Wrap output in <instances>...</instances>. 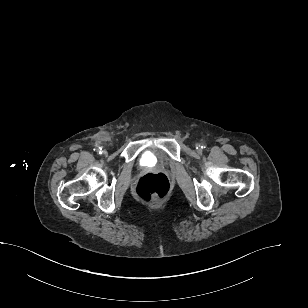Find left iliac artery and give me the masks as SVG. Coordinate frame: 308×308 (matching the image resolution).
I'll return each instance as SVG.
<instances>
[{"mask_svg":"<svg viewBox=\"0 0 308 308\" xmlns=\"http://www.w3.org/2000/svg\"><path fill=\"white\" fill-rule=\"evenodd\" d=\"M201 148H205V146H204V145H202V146H201Z\"/></svg>","mask_w":308,"mask_h":308,"instance_id":"44dca946","label":"left iliac artery"}]
</instances>
